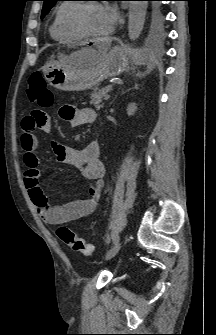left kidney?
<instances>
[{
  "label": "left kidney",
  "mask_w": 216,
  "mask_h": 335,
  "mask_svg": "<svg viewBox=\"0 0 216 335\" xmlns=\"http://www.w3.org/2000/svg\"><path fill=\"white\" fill-rule=\"evenodd\" d=\"M136 110H137L136 104L135 103H130L128 105V107H127V114L129 116H132V115H134V113L136 112Z\"/></svg>",
  "instance_id": "left-kidney-1"
}]
</instances>
